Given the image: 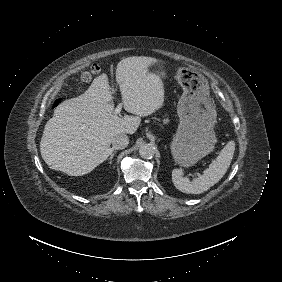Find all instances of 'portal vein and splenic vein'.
<instances>
[{"label":"portal vein and splenic vein","mask_w":282,"mask_h":282,"mask_svg":"<svg viewBox=\"0 0 282 282\" xmlns=\"http://www.w3.org/2000/svg\"><path fill=\"white\" fill-rule=\"evenodd\" d=\"M121 109H122V103H119L117 107L115 108L114 113L119 114L121 112ZM198 176L200 175L198 174Z\"/></svg>","instance_id":"1"}]
</instances>
